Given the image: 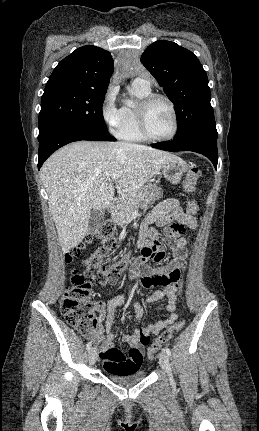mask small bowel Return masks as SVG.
<instances>
[{"label":"small bowel","instance_id":"obj_1","mask_svg":"<svg viewBox=\"0 0 259 431\" xmlns=\"http://www.w3.org/2000/svg\"><path fill=\"white\" fill-rule=\"evenodd\" d=\"M188 211V209L187 211L183 209L177 199H166L159 203L142 223L139 247L141 248L143 245L155 240L158 236V227L171 221H176L190 229H195L197 226L196 219L189 216ZM187 245L185 238H178L175 240V246L172 251L173 258L164 266L152 269L143 264L129 273L134 281L139 282L142 287L160 288L164 286L163 290H158L147 297L148 303H157L164 298L168 300L166 305L167 313L162 320L140 328L139 323L143 317V308L132 297L118 296L107 303L94 302L96 310L100 313L99 326L94 334V341L99 349V356L105 370L121 371L127 365H132L138 369L143 362L142 346L144 344L140 342L141 332L145 331L149 335H156L177 320L176 301L183 290L181 271L186 266ZM123 305H131L135 312L136 324L132 333L122 337L124 343L137 350V356L135 357L126 350L113 347L115 334L112 326L117 309Z\"/></svg>","mask_w":259,"mask_h":431}]
</instances>
